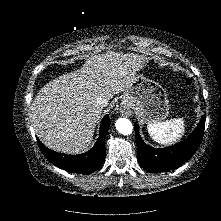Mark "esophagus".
Instances as JSON below:
<instances>
[{"instance_id":"1","label":"esophagus","mask_w":221,"mask_h":221,"mask_svg":"<svg viewBox=\"0 0 221 221\" xmlns=\"http://www.w3.org/2000/svg\"><path fill=\"white\" fill-rule=\"evenodd\" d=\"M120 112H121L122 115H124V116H130V115L132 114L130 108H129L128 106H126V105L121 106Z\"/></svg>"}]
</instances>
